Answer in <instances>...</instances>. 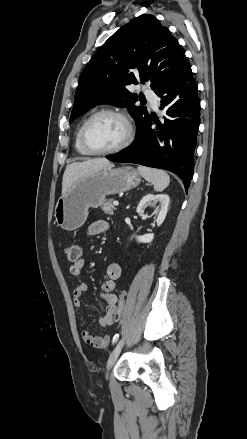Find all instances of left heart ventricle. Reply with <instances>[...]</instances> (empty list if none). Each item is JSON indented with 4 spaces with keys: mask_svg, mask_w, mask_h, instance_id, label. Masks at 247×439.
I'll return each instance as SVG.
<instances>
[{
    "mask_svg": "<svg viewBox=\"0 0 247 439\" xmlns=\"http://www.w3.org/2000/svg\"><path fill=\"white\" fill-rule=\"evenodd\" d=\"M126 137L124 122L115 116L104 115L88 126L86 139L94 150H107L118 146Z\"/></svg>",
    "mask_w": 247,
    "mask_h": 439,
    "instance_id": "1",
    "label": "left heart ventricle"
}]
</instances>
